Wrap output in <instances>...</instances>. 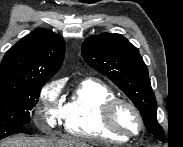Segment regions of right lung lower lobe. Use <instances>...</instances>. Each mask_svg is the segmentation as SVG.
Wrapping results in <instances>:
<instances>
[{"label": "right lung lower lobe", "mask_w": 183, "mask_h": 147, "mask_svg": "<svg viewBox=\"0 0 183 147\" xmlns=\"http://www.w3.org/2000/svg\"><path fill=\"white\" fill-rule=\"evenodd\" d=\"M16 133L32 134L30 131H28L26 129L25 126H21V127H17V128L8 130L6 133L0 135V139L5 138V137L10 136V135H13V134H16Z\"/></svg>", "instance_id": "obj_1"}]
</instances>
